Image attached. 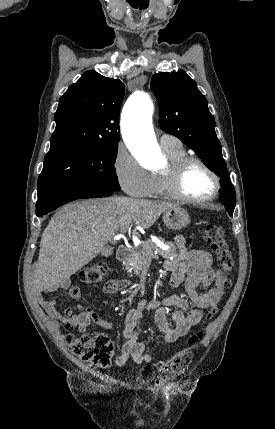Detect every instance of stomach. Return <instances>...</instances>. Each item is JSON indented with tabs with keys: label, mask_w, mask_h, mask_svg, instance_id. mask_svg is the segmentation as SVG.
Masks as SVG:
<instances>
[{
	"label": "stomach",
	"mask_w": 275,
	"mask_h": 429,
	"mask_svg": "<svg viewBox=\"0 0 275 429\" xmlns=\"http://www.w3.org/2000/svg\"><path fill=\"white\" fill-rule=\"evenodd\" d=\"M163 222L170 229L181 230L189 224L190 217L185 209L177 206L164 213Z\"/></svg>",
	"instance_id": "obj_1"
}]
</instances>
